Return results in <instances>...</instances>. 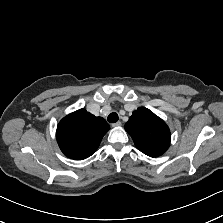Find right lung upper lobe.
I'll list each match as a JSON object with an SVG mask.
<instances>
[{
    "label": "right lung upper lobe",
    "mask_w": 223,
    "mask_h": 223,
    "mask_svg": "<svg viewBox=\"0 0 223 223\" xmlns=\"http://www.w3.org/2000/svg\"><path fill=\"white\" fill-rule=\"evenodd\" d=\"M109 129L110 126L102 117L80 109L60 121L56 138L61 151L67 157L82 160L97 150Z\"/></svg>",
    "instance_id": "right-lung-upper-lobe-1"
}]
</instances>
